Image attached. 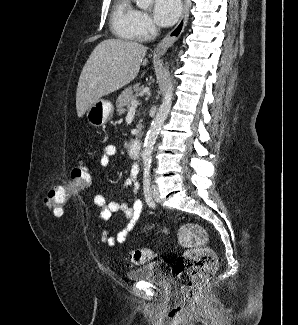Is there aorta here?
<instances>
[{"instance_id":"762f6f07","label":"aorta","mask_w":298,"mask_h":325,"mask_svg":"<svg viewBox=\"0 0 298 325\" xmlns=\"http://www.w3.org/2000/svg\"><path fill=\"white\" fill-rule=\"evenodd\" d=\"M137 6L139 8H149L152 6L153 0H135ZM174 76H170V80L168 82V86L163 94V100L158 108V112L145 136L143 150H142V158H143V167L145 173H148L151 169L152 163V152L153 146L155 144L156 136L164 122L166 120L172 106L173 102V90H174Z\"/></svg>"}]
</instances>
